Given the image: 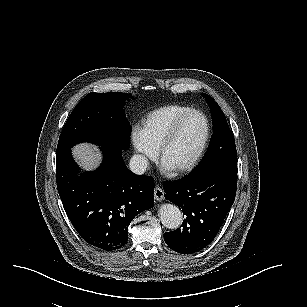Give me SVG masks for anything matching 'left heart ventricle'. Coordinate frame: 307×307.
<instances>
[{
    "mask_svg": "<svg viewBox=\"0 0 307 307\" xmlns=\"http://www.w3.org/2000/svg\"><path fill=\"white\" fill-rule=\"evenodd\" d=\"M196 116L179 126L178 134L175 136L171 147L166 151V157L172 162L185 163L195 154L200 139L201 131Z\"/></svg>",
    "mask_w": 307,
    "mask_h": 307,
    "instance_id": "b2bd125f",
    "label": "left heart ventricle"
}]
</instances>
